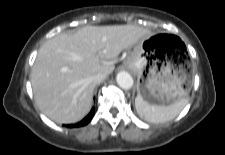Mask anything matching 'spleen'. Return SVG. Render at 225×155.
Wrapping results in <instances>:
<instances>
[{"instance_id": "obj_1", "label": "spleen", "mask_w": 225, "mask_h": 155, "mask_svg": "<svg viewBox=\"0 0 225 155\" xmlns=\"http://www.w3.org/2000/svg\"><path fill=\"white\" fill-rule=\"evenodd\" d=\"M187 103L188 99L183 98L170 105H152L140 96L135 98V107L139 116L152 123H163L174 119Z\"/></svg>"}]
</instances>
